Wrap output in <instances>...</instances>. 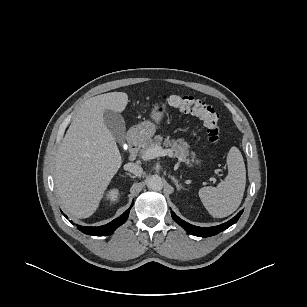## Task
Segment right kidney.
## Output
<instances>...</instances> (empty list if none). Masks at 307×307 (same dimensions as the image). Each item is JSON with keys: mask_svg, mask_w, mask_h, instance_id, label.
Wrapping results in <instances>:
<instances>
[{"mask_svg": "<svg viewBox=\"0 0 307 307\" xmlns=\"http://www.w3.org/2000/svg\"><path fill=\"white\" fill-rule=\"evenodd\" d=\"M118 197H119V190L117 188L110 189L106 194L107 200H110L111 202L117 201Z\"/></svg>", "mask_w": 307, "mask_h": 307, "instance_id": "1", "label": "right kidney"}]
</instances>
